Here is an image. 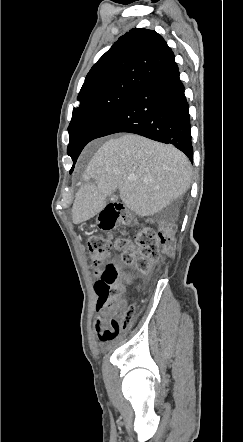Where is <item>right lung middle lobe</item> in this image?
I'll list each match as a JSON object with an SVG mask.
<instances>
[{"label":"right lung middle lobe","mask_w":243,"mask_h":442,"mask_svg":"<svg viewBox=\"0 0 243 442\" xmlns=\"http://www.w3.org/2000/svg\"><path fill=\"white\" fill-rule=\"evenodd\" d=\"M132 91L131 89H123L106 93L73 109L68 127L70 142L67 153L71 156L74 164L82 149L93 140L94 134L101 125Z\"/></svg>","instance_id":"right-lung-middle-lobe-1"}]
</instances>
